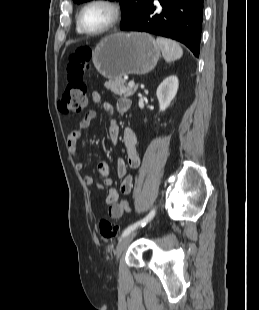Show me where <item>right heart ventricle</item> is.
I'll use <instances>...</instances> for the list:
<instances>
[{"mask_svg": "<svg viewBox=\"0 0 259 310\" xmlns=\"http://www.w3.org/2000/svg\"><path fill=\"white\" fill-rule=\"evenodd\" d=\"M77 32H78V34H83L81 31H80V29L78 28V26H77Z\"/></svg>", "mask_w": 259, "mask_h": 310, "instance_id": "right-heart-ventricle-1", "label": "right heart ventricle"}]
</instances>
